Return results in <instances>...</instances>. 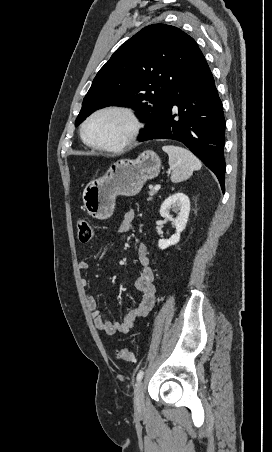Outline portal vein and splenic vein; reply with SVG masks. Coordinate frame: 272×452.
<instances>
[{"label":"portal vein and splenic vein","mask_w":272,"mask_h":452,"mask_svg":"<svg viewBox=\"0 0 272 452\" xmlns=\"http://www.w3.org/2000/svg\"><path fill=\"white\" fill-rule=\"evenodd\" d=\"M153 189H154L155 191H158V190L160 189V185H159V184L155 185V186L153 187Z\"/></svg>","instance_id":"obj_1"}]
</instances>
